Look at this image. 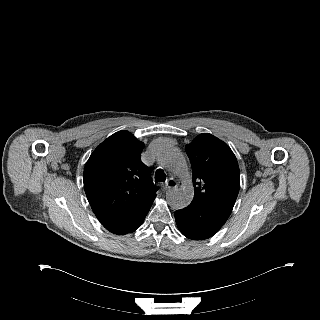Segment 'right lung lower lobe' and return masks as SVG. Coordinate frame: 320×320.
Returning <instances> with one entry per match:
<instances>
[{
    "label": "right lung lower lobe",
    "mask_w": 320,
    "mask_h": 320,
    "mask_svg": "<svg viewBox=\"0 0 320 320\" xmlns=\"http://www.w3.org/2000/svg\"><path fill=\"white\" fill-rule=\"evenodd\" d=\"M150 208H145L134 213L102 221V225L110 232L124 235L134 232L140 227Z\"/></svg>",
    "instance_id": "obj_1"
}]
</instances>
